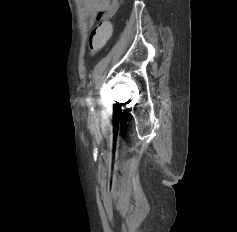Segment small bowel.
I'll list each match as a JSON object with an SVG mask.
<instances>
[{"mask_svg": "<svg viewBox=\"0 0 237 232\" xmlns=\"http://www.w3.org/2000/svg\"><path fill=\"white\" fill-rule=\"evenodd\" d=\"M119 0H85L88 13L97 19H107L117 10Z\"/></svg>", "mask_w": 237, "mask_h": 232, "instance_id": "obj_1", "label": "small bowel"}]
</instances>
